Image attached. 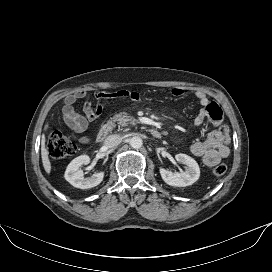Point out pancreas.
<instances>
[{"mask_svg": "<svg viewBox=\"0 0 272 272\" xmlns=\"http://www.w3.org/2000/svg\"><path fill=\"white\" fill-rule=\"evenodd\" d=\"M111 120L113 122H117V124L119 126H126L128 124H135L136 123V119L131 117V116H128L127 114H115Z\"/></svg>", "mask_w": 272, "mask_h": 272, "instance_id": "1", "label": "pancreas"}]
</instances>
